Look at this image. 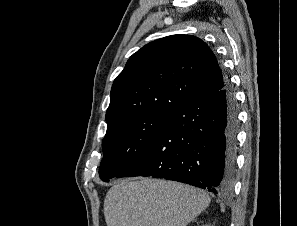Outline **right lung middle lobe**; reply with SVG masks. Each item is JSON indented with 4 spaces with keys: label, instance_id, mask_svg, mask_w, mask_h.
I'll use <instances>...</instances> for the list:
<instances>
[{
    "label": "right lung middle lobe",
    "instance_id": "1",
    "mask_svg": "<svg viewBox=\"0 0 297 226\" xmlns=\"http://www.w3.org/2000/svg\"><path fill=\"white\" fill-rule=\"evenodd\" d=\"M173 111L147 112L107 126L99 176L108 182L128 167L168 124Z\"/></svg>",
    "mask_w": 297,
    "mask_h": 226
}]
</instances>
